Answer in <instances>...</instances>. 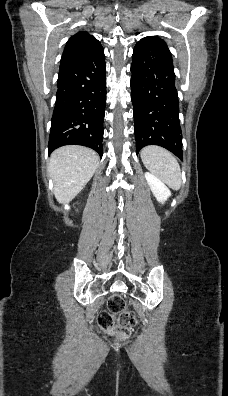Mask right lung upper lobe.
<instances>
[{"label":"right lung upper lobe","instance_id":"obj_1","mask_svg":"<svg viewBox=\"0 0 228 396\" xmlns=\"http://www.w3.org/2000/svg\"><path fill=\"white\" fill-rule=\"evenodd\" d=\"M101 46L99 41L86 32H78L66 43L61 62L80 57Z\"/></svg>","mask_w":228,"mask_h":396}]
</instances>
